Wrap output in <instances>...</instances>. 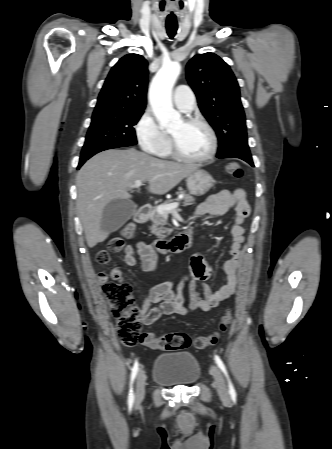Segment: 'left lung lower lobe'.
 Masks as SVG:
<instances>
[{
    "mask_svg": "<svg viewBox=\"0 0 332 449\" xmlns=\"http://www.w3.org/2000/svg\"><path fill=\"white\" fill-rule=\"evenodd\" d=\"M218 158H222V157H218ZM234 158L242 159V160L246 161L247 163H249L251 166L254 167V164H253V161H252V157H243V156L236 155V156H234Z\"/></svg>",
    "mask_w": 332,
    "mask_h": 449,
    "instance_id": "0a47b994",
    "label": "left lung lower lobe"
}]
</instances>
